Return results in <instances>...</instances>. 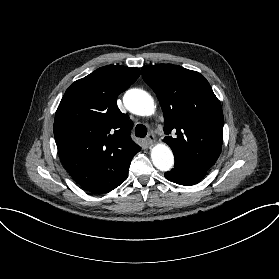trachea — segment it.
I'll use <instances>...</instances> for the list:
<instances>
[{
    "mask_svg": "<svg viewBox=\"0 0 279 279\" xmlns=\"http://www.w3.org/2000/svg\"><path fill=\"white\" fill-rule=\"evenodd\" d=\"M135 135L140 138H144L147 135V129L144 125L138 124L135 128Z\"/></svg>",
    "mask_w": 279,
    "mask_h": 279,
    "instance_id": "3493384b",
    "label": "trachea"
}]
</instances>
